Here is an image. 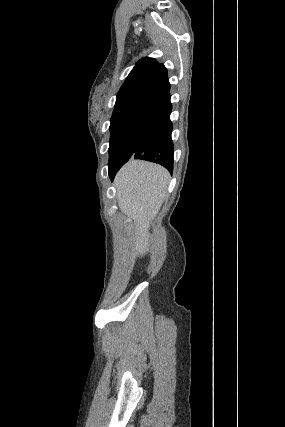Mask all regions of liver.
Returning <instances> with one entry per match:
<instances>
[{"instance_id":"1","label":"liver","mask_w":285,"mask_h":427,"mask_svg":"<svg viewBox=\"0 0 285 427\" xmlns=\"http://www.w3.org/2000/svg\"><path fill=\"white\" fill-rule=\"evenodd\" d=\"M169 179V172L162 166L134 159L116 175L118 206L132 220L137 255L148 251L150 224L160 210Z\"/></svg>"}]
</instances>
